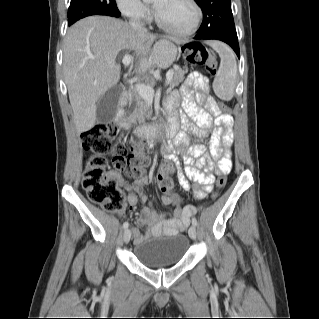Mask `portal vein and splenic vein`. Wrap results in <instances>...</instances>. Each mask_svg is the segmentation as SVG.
<instances>
[{"label":"portal vein and splenic vein","instance_id":"1","mask_svg":"<svg viewBox=\"0 0 319 319\" xmlns=\"http://www.w3.org/2000/svg\"><path fill=\"white\" fill-rule=\"evenodd\" d=\"M132 57L129 54L123 56L122 62L125 66L131 63ZM173 76V70H169L166 73V85L170 84L171 78ZM136 91L145 99H152L154 96V89L145 84H136Z\"/></svg>","mask_w":319,"mask_h":319}]
</instances>
